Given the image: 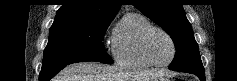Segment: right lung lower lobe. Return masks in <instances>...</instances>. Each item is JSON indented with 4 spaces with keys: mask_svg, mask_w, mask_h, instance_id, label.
I'll use <instances>...</instances> for the list:
<instances>
[{
    "mask_svg": "<svg viewBox=\"0 0 237 81\" xmlns=\"http://www.w3.org/2000/svg\"><path fill=\"white\" fill-rule=\"evenodd\" d=\"M84 61H87V60L54 61V62L43 63L42 69L39 75V81H49L65 66L72 63L84 62Z\"/></svg>",
    "mask_w": 237,
    "mask_h": 81,
    "instance_id": "1",
    "label": "right lung lower lobe"
}]
</instances>
